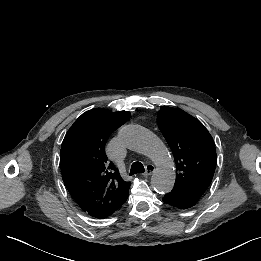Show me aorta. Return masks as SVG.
<instances>
[{
	"mask_svg": "<svg viewBox=\"0 0 261 261\" xmlns=\"http://www.w3.org/2000/svg\"><path fill=\"white\" fill-rule=\"evenodd\" d=\"M120 142L128 149L149 157L157 168L151 183L160 194L169 193L175 183L173 159L164 143L148 129L140 125H126L118 133Z\"/></svg>",
	"mask_w": 261,
	"mask_h": 261,
	"instance_id": "1",
	"label": "aorta"
}]
</instances>
